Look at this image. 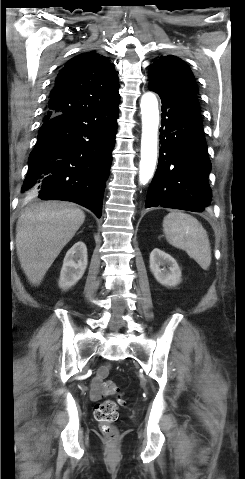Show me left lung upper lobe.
I'll return each mask as SVG.
<instances>
[{
	"instance_id": "left-lung-upper-lobe-1",
	"label": "left lung upper lobe",
	"mask_w": 245,
	"mask_h": 479,
	"mask_svg": "<svg viewBox=\"0 0 245 479\" xmlns=\"http://www.w3.org/2000/svg\"><path fill=\"white\" fill-rule=\"evenodd\" d=\"M149 79V83L154 84L162 93H173L188 88L198 90L188 65L173 55L156 59L150 66Z\"/></svg>"
}]
</instances>
